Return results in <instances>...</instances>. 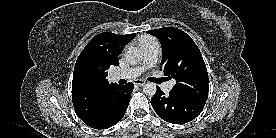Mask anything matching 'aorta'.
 <instances>
[{
	"instance_id": "762f6f07",
	"label": "aorta",
	"mask_w": 276,
	"mask_h": 138,
	"mask_svg": "<svg viewBox=\"0 0 276 138\" xmlns=\"http://www.w3.org/2000/svg\"><path fill=\"white\" fill-rule=\"evenodd\" d=\"M124 56L127 63L135 65L141 61L142 52L138 48L130 46L126 48ZM156 90V84L153 82H148L143 86V92L147 96H153Z\"/></svg>"
}]
</instances>
